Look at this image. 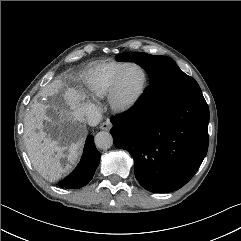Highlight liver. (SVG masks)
Returning a JSON list of instances; mask_svg holds the SVG:
<instances>
[{
  "mask_svg": "<svg viewBox=\"0 0 241 241\" xmlns=\"http://www.w3.org/2000/svg\"><path fill=\"white\" fill-rule=\"evenodd\" d=\"M61 81L51 83L41 96L47 98L59 94ZM84 97L75 88H67L52 101L35 98L25 117L24 139L28 156L43 178L50 182L58 180L75 163L86 136L80 124L83 119ZM47 125L57 128V139L47 133ZM63 140L64 145H60ZM66 159V161H62Z\"/></svg>",
  "mask_w": 241,
  "mask_h": 241,
  "instance_id": "6515ba94",
  "label": "liver"
}]
</instances>
